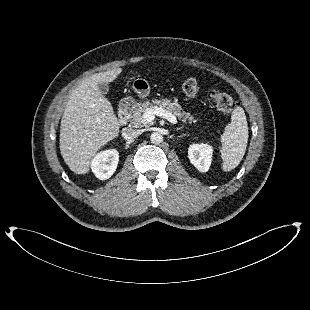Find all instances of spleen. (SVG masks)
Returning a JSON list of instances; mask_svg holds the SVG:
<instances>
[{
	"instance_id": "spleen-1",
	"label": "spleen",
	"mask_w": 310,
	"mask_h": 310,
	"mask_svg": "<svg viewBox=\"0 0 310 310\" xmlns=\"http://www.w3.org/2000/svg\"><path fill=\"white\" fill-rule=\"evenodd\" d=\"M248 124L242 107H236L231 122L221 135V158L223 171H231L241 162L248 142Z\"/></svg>"
}]
</instances>
